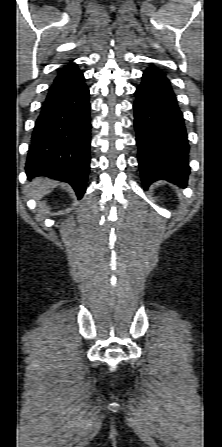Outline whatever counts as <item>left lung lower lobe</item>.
Returning a JSON list of instances; mask_svg holds the SVG:
<instances>
[{"instance_id": "1", "label": "left lung lower lobe", "mask_w": 222, "mask_h": 447, "mask_svg": "<svg viewBox=\"0 0 222 447\" xmlns=\"http://www.w3.org/2000/svg\"><path fill=\"white\" fill-rule=\"evenodd\" d=\"M135 96L134 126L144 189L160 179L185 186L190 173L189 145L169 80L160 69L148 67Z\"/></svg>"}]
</instances>
